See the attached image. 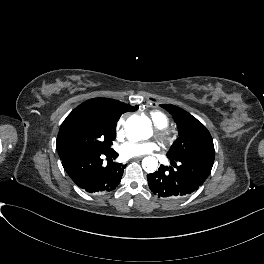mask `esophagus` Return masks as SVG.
Instances as JSON below:
<instances>
[{
	"label": "esophagus",
	"mask_w": 264,
	"mask_h": 264,
	"mask_svg": "<svg viewBox=\"0 0 264 264\" xmlns=\"http://www.w3.org/2000/svg\"><path fill=\"white\" fill-rule=\"evenodd\" d=\"M133 160L138 161V160H140V157H134Z\"/></svg>",
	"instance_id": "34e87169"
}]
</instances>
